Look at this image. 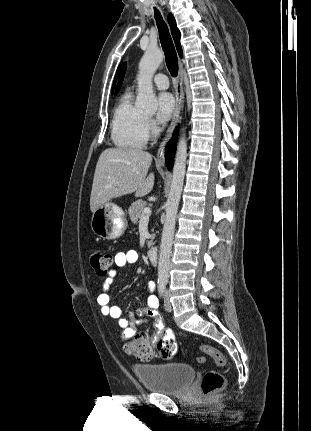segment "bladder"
<instances>
[{
    "instance_id": "obj_1",
    "label": "bladder",
    "mask_w": 311,
    "mask_h": 431,
    "mask_svg": "<svg viewBox=\"0 0 311 431\" xmlns=\"http://www.w3.org/2000/svg\"><path fill=\"white\" fill-rule=\"evenodd\" d=\"M133 371L147 390L166 395L182 393L195 377L187 363L136 364Z\"/></svg>"
}]
</instances>
